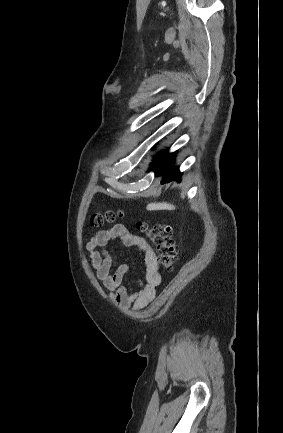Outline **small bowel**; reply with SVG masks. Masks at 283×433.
<instances>
[{
  "label": "small bowel",
  "instance_id": "small-bowel-1",
  "mask_svg": "<svg viewBox=\"0 0 283 433\" xmlns=\"http://www.w3.org/2000/svg\"><path fill=\"white\" fill-rule=\"evenodd\" d=\"M112 240H118L126 247L137 248L143 255L145 272L137 292H130L126 286L127 265H120L113 271V258L108 250V244ZM86 248L90 253L95 274L115 306L124 311H136L154 299L156 287L161 282V274L156 253L145 239L133 235L124 225L115 224L95 233Z\"/></svg>",
  "mask_w": 283,
  "mask_h": 433
}]
</instances>
